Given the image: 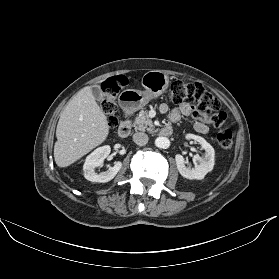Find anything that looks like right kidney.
I'll list each match as a JSON object with an SVG mask.
<instances>
[{
	"label": "right kidney",
	"mask_w": 279,
	"mask_h": 279,
	"mask_svg": "<svg viewBox=\"0 0 279 279\" xmlns=\"http://www.w3.org/2000/svg\"><path fill=\"white\" fill-rule=\"evenodd\" d=\"M111 148L105 145L95 149L87 156L83 171L84 177L91 182L105 183L112 180L122 167V162H115L113 166L109 167L107 171L96 173L95 168L102 167L105 158L110 154Z\"/></svg>",
	"instance_id": "obj_1"
}]
</instances>
